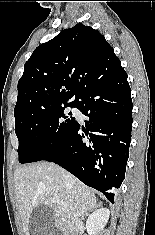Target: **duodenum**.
Wrapping results in <instances>:
<instances>
[{
    "label": "duodenum",
    "mask_w": 155,
    "mask_h": 235,
    "mask_svg": "<svg viewBox=\"0 0 155 235\" xmlns=\"http://www.w3.org/2000/svg\"><path fill=\"white\" fill-rule=\"evenodd\" d=\"M60 228L63 235H80V232L76 226L63 224Z\"/></svg>",
    "instance_id": "1"
}]
</instances>
